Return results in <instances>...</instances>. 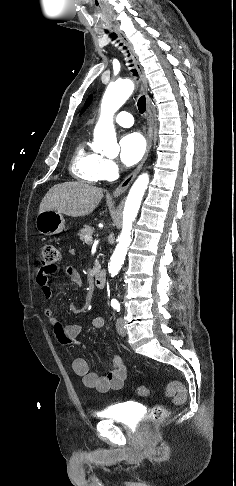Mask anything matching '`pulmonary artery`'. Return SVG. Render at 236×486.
Segmentation results:
<instances>
[{
  "label": "pulmonary artery",
  "instance_id": "obj_1",
  "mask_svg": "<svg viewBox=\"0 0 236 486\" xmlns=\"http://www.w3.org/2000/svg\"><path fill=\"white\" fill-rule=\"evenodd\" d=\"M115 121L122 127H131L134 123L133 116L125 111L118 113L115 117Z\"/></svg>",
  "mask_w": 236,
  "mask_h": 486
}]
</instances>
